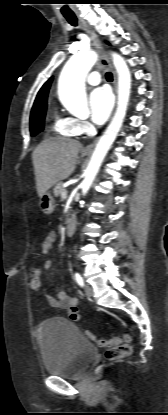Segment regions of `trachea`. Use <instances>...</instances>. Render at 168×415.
I'll return each mask as SVG.
<instances>
[{
	"label": "trachea",
	"mask_w": 168,
	"mask_h": 415,
	"mask_svg": "<svg viewBox=\"0 0 168 415\" xmlns=\"http://www.w3.org/2000/svg\"><path fill=\"white\" fill-rule=\"evenodd\" d=\"M66 18V20L72 25V26H77V18L75 15H65L64 16ZM106 79L108 81H112L113 77L112 74L110 72L106 73Z\"/></svg>",
	"instance_id": "obj_1"
}]
</instances>
